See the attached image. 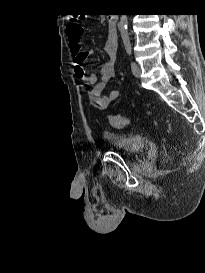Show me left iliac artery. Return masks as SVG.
<instances>
[{
	"instance_id": "obj_1",
	"label": "left iliac artery",
	"mask_w": 205,
	"mask_h": 273,
	"mask_svg": "<svg viewBox=\"0 0 205 273\" xmlns=\"http://www.w3.org/2000/svg\"><path fill=\"white\" fill-rule=\"evenodd\" d=\"M124 46H125L126 52L130 55L131 54V44H130V42L125 41Z\"/></svg>"
}]
</instances>
